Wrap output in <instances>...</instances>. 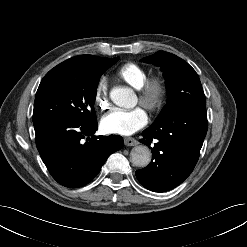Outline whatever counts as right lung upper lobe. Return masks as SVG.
<instances>
[{"label":"right lung upper lobe","mask_w":247,"mask_h":247,"mask_svg":"<svg viewBox=\"0 0 247 247\" xmlns=\"http://www.w3.org/2000/svg\"><path fill=\"white\" fill-rule=\"evenodd\" d=\"M101 58L102 57H97L93 55H80L72 57L57 65L50 71H66L74 73L92 72L100 63Z\"/></svg>","instance_id":"cb5924a9"}]
</instances>
